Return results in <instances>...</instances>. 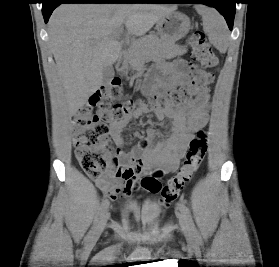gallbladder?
<instances>
[{"instance_id":"obj_1","label":"gallbladder","mask_w":279,"mask_h":267,"mask_svg":"<svg viewBox=\"0 0 279 267\" xmlns=\"http://www.w3.org/2000/svg\"><path fill=\"white\" fill-rule=\"evenodd\" d=\"M114 68L112 65H106L103 68V77H102V83L104 86H109L111 80L114 78Z\"/></svg>"}]
</instances>
